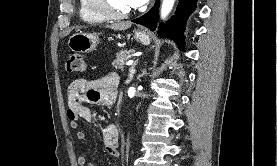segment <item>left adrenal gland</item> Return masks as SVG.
<instances>
[{"label": "left adrenal gland", "instance_id": "1", "mask_svg": "<svg viewBox=\"0 0 277 166\" xmlns=\"http://www.w3.org/2000/svg\"><path fill=\"white\" fill-rule=\"evenodd\" d=\"M137 63H138V60H136L134 62V64L131 66V68L129 69V78H128L127 82H131L132 81L133 76L136 73L135 66L137 65Z\"/></svg>", "mask_w": 277, "mask_h": 166}]
</instances>
